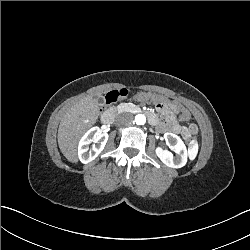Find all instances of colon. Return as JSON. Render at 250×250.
<instances>
[{"mask_svg":"<svg viewBox=\"0 0 250 250\" xmlns=\"http://www.w3.org/2000/svg\"><path fill=\"white\" fill-rule=\"evenodd\" d=\"M129 91L126 88H120V89H116L113 91H110L109 93H107L106 97H105V101L107 104H112L115 103L119 100H123L128 96ZM145 97L144 94H139L138 98L143 99ZM189 144H194L196 139L194 136H189L187 139Z\"/></svg>","mask_w":250,"mask_h":250,"instance_id":"obj_1","label":"colon"}]
</instances>
